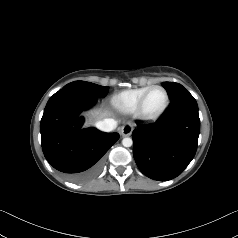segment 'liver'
<instances>
[{
  "mask_svg": "<svg viewBox=\"0 0 238 238\" xmlns=\"http://www.w3.org/2000/svg\"><path fill=\"white\" fill-rule=\"evenodd\" d=\"M92 116L96 117L97 119H101V118L107 116V113H101L98 111H94V112H92Z\"/></svg>",
  "mask_w": 238,
  "mask_h": 238,
  "instance_id": "liver-1",
  "label": "liver"
}]
</instances>
